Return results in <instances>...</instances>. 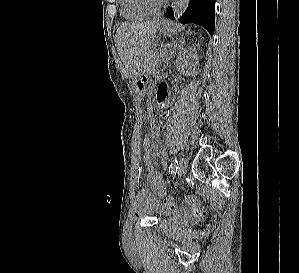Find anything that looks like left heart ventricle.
<instances>
[{"label":"left heart ventricle","mask_w":299,"mask_h":273,"mask_svg":"<svg viewBox=\"0 0 299 273\" xmlns=\"http://www.w3.org/2000/svg\"><path fill=\"white\" fill-rule=\"evenodd\" d=\"M161 0H150V2L151 3H153V4H157V3H159Z\"/></svg>","instance_id":"b2bd125f"}]
</instances>
